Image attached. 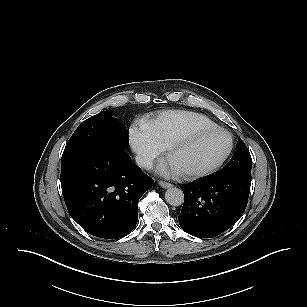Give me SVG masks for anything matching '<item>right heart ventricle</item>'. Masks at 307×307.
<instances>
[{
  "label": "right heart ventricle",
  "mask_w": 307,
  "mask_h": 307,
  "mask_svg": "<svg viewBox=\"0 0 307 307\" xmlns=\"http://www.w3.org/2000/svg\"><path fill=\"white\" fill-rule=\"evenodd\" d=\"M145 126L152 137L163 147L171 145L192 131L216 127L207 116L183 110L163 111L149 118Z\"/></svg>",
  "instance_id": "obj_1"
}]
</instances>
